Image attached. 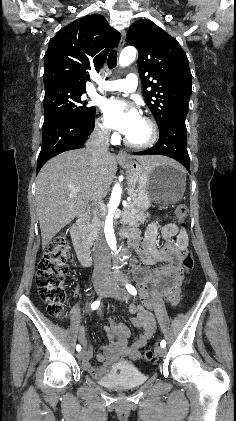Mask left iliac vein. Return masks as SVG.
Instances as JSON below:
<instances>
[{
  "label": "left iliac vein",
  "instance_id": "4c4485c4",
  "mask_svg": "<svg viewBox=\"0 0 236 421\" xmlns=\"http://www.w3.org/2000/svg\"><path fill=\"white\" fill-rule=\"evenodd\" d=\"M106 296L116 298L120 301H127L129 299V294L127 290L117 284L116 281L109 279L108 286L106 288ZM156 352L163 356L165 354V350L159 346L156 348Z\"/></svg>",
  "mask_w": 236,
  "mask_h": 421
}]
</instances>
